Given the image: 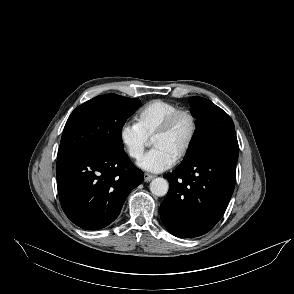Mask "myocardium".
<instances>
[{"label": "myocardium", "mask_w": 294, "mask_h": 294, "mask_svg": "<svg viewBox=\"0 0 294 294\" xmlns=\"http://www.w3.org/2000/svg\"><path fill=\"white\" fill-rule=\"evenodd\" d=\"M181 116H186L189 118L191 123V131L184 148L180 151V153L176 157L177 161L184 159L188 155V153L192 149L194 142L196 140V136L198 132V121L195 114L189 109L179 108L175 110L162 122V124L158 127V129L155 131V133L152 136V141H153L155 138L160 137L166 134L167 132H169V130L172 128L176 120Z\"/></svg>", "instance_id": "f54148a6"}]
</instances>
